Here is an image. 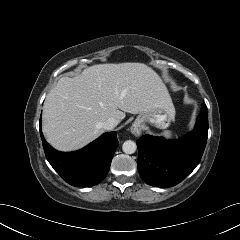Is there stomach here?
<instances>
[{
  "label": "stomach",
  "instance_id": "stomach-1",
  "mask_svg": "<svg viewBox=\"0 0 240 240\" xmlns=\"http://www.w3.org/2000/svg\"><path fill=\"white\" fill-rule=\"evenodd\" d=\"M175 116L174 107L170 108H156L146 113H141L136 118L134 125L144 127L151 124L157 128L165 129L169 127Z\"/></svg>",
  "mask_w": 240,
  "mask_h": 240
}]
</instances>
